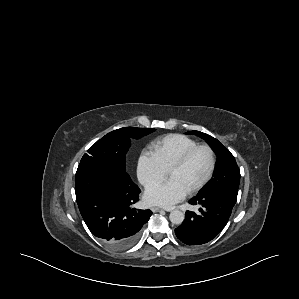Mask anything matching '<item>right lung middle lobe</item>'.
<instances>
[{
  "label": "right lung middle lobe",
  "instance_id": "right-lung-middle-lobe-1",
  "mask_svg": "<svg viewBox=\"0 0 299 299\" xmlns=\"http://www.w3.org/2000/svg\"><path fill=\"white\" fill-rule=\"evenodd\" d=\"M154 130L153 128L136 127H124L114 130L88 149V153L82 157L79 167L89 163L104 164L130 178L125 171V154L130 147V139H139Z\"/></svg>",
  "mask_w": 299,
  "mask_h": 299
}]
</instances>
